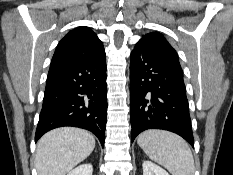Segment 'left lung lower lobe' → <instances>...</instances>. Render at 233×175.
Segmentation results:
<instances>
[{
    "label": "left lung lower lobe",
    "mask_w": 233,
    "mask_h": 175,
    "mask_svg": "<svg viewBox=\"0 0 233 175\" xmlns=\"http://www.w3.org/2000/svg\"><path fill=\"white\" fill-rule=\"evenodd\" d=\"M131 139L147 129L174 132L194 146L183 71L136 44L130 56Z\"/></svg>",
    "instance_id": "obj_1"
}]
</instances>
